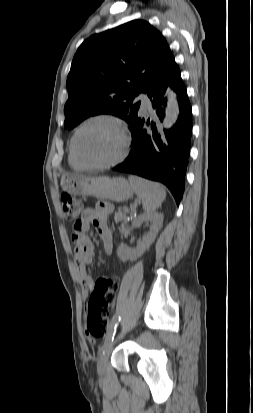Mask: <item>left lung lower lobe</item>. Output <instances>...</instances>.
Segmentation results:
<instances>
[{
    "label": "left lung lower lobe",
    "instance_id": "obj_1",
    "mask_svg": "<svg viewBox=\"0 0 253 413\" xmlns=\"http://www.w3.org/2000/svg\"><path fill=\"white\" fill-rule=\"evenodd\" d=\"M177 94L180 114L176 124L165 135L157 133L156 124L141 115L132 124V149L126 160L114 170L136 174L165 184L179 204L183 197L185 174L192 135V109L180 70L171 58L159 79L147 91L160 121L164 117L165 89ZM150 126V127H148Z\"/></svg>",
    "mask_w": 253,
    "mask_h": 413
}]
</instances>
